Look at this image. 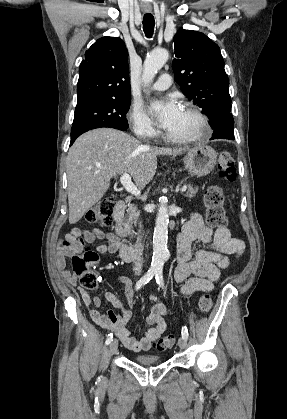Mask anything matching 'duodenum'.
<instances>
[{
	"instance_id": "410a0bca",
	"label": "duodenum",
	"mask_w": 287,
	"mask_h": 419,
	"mask_svg": "<svg viewBox=\"0 0 287 419\" xmlns=\"http://www.w3.org/2000/svg\"><path fill=\"white\" fill-rule=\"evenodd\" d=\"M127 204L123 200H119L114 209V215L117 222H120L123 218L124 212L126 210ZM116 231L119 235L122 236V231L119 226H117ZM141 252V246L139 245H128L125 241L122 242V247L120 249V257L123 261L131 262L135 260Z\"/></svg>"
}]
</instances>
